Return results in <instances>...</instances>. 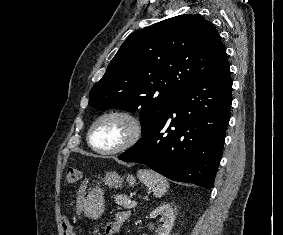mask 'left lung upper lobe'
<instances>
[{"mask_svg": "<svg viewBox=\"0 0 283 235\" xmlns=\"http://www.w3.org/2000/svg\"><path fill=\"white\" fill-rule=\"evenodd\" d=\"M227 62L215 27L202 16L179 15L134 32L90 91L97 110H140L142 135L192 82Z\"/></svg>", "mask_w": 283, "mask_h": 235, "instance_id": "1", "label": "left lung upper lobe"}]
</instances>
